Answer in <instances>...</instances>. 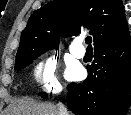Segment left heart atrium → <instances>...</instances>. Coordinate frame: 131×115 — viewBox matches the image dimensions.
Masks as SVG:
<instances>
[{"label":"left heart atrium","mask_w":131,"mask_h":115,"mask_svg":"<svg viewBox=\"0 0 131 115\" xmlns=\"http://www.w3.org/2000/svg\"><path fill=\"white\" fill-rule=\"evenodd\" d=\"M80 75H81V69L77 66L71 67L68 70V77L70 79H77L80 77Z\"/></svg>","instance_id":"obj_1"}]
</instances>
